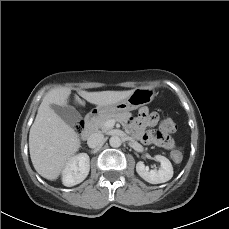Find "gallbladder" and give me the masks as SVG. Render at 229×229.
Segmentation results:
<instances>
[{"mask_svg": "<svg viewBox=\"0 0 229 229\" xmlns=\"http://www.w3.org/2000/svg\"><path fill=\"white\" fill-rule=\"evenodd\" d=\"M51 107L69 126H75L81 120L80 114L72 106L51 105Z\"/></svg>", "mask_w": 229, "mask_h": 229, "instance_id": "bac80fb5", "label": "gallbladder"}]
</instances>
